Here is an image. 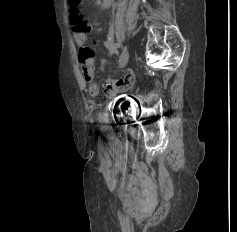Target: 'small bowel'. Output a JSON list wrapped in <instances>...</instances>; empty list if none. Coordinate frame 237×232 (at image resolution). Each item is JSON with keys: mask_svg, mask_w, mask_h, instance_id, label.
I'll use <instances>...</instances> for the list:
<instances>
[{"mask_svg": "<svg viewBox=\"0 0 237 232\" xmlns=\"http://www.w3.org/2000/svg\"><path fill=\"white\" fill-rule=\"evenodd\" d=\"M74 39L78 47L79 62L88 91L91 96H96L98 94V84L95 75L94 48L87 44L86 33H75ZM105 48L111 53H114L116 49L113 47L111 40L105 43ZM132 82L133 73L127 70L121 78L106 81L103 89L107 96L112 97L118 92L129 88Z\"/></svg>", "mask_w": 237, "mask_h": 232, "instance_id": "1", "label": "small bowel"}]
</instances>
